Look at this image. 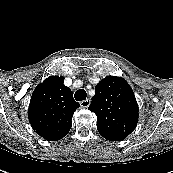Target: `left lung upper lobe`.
<instances>
[{"label":"left lung upper lobe","mask_w":173,"mask_h":173,"mask_svg":"<svg viewBox=\"0 0 173 173\" xmlns=\"http://www.w3.org/2000/svg\"><path fill=\"white\" fill-rule=\"evenodd\" d=\"M89 110L97 116V129L110 141H121L134 131L138 104L129 84L121 77L107 76L95 86Z\"/></svg>","instance_id":"left-lung-upper-lobe-1"}]
</instances>
